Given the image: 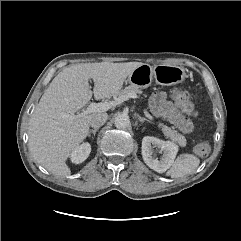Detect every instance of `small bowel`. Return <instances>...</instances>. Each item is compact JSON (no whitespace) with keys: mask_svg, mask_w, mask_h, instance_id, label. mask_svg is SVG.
<instances>
[{"mask_svg":"<svg viewBox=\"0 0 241 241\" xmlns=\"http://www.w3.org/2000/svg\"><path fill=\"white\" fill-rule=\"evenodd\" d=\"M152 105L155 115L163 117L184 133L190 134L194 129L193 122L182 115L176 106L167 100L164 92H156L152 96Z\"/></svg>","mask_w":241,"mask_h":241,"instance_id":"1","label":"small bowel"}]
</instances>
